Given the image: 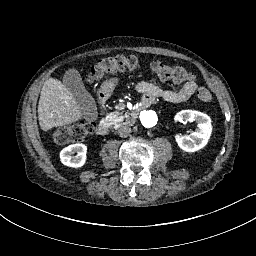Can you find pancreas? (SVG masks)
Wrapping results in <instances>:
<instances>
[{
    "instance_id": "pancreas-1",
    "label": "pancreas",
    "mask_w": 256,
    "mask_h": 256,
    "mask_svg": "<svg viewBox=\"0 0 256 256\" xmlns=\"http://www.w3.org/2000/svg\"><path fill=\"white\" fill-rule=\"evenodd\" d=\"M125 108L124 104H119L116 107V111L111 112L108 114V121L113 125V126H118L122 124L126 125H133L136 121V115H133L132 113H125L123 109Z\"/></svg>"
}]
</instances>
